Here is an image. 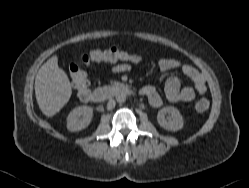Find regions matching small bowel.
I'll list each match as a JSON object with an SVG mask.
<instances>
[{
	"label": "small bowel",
	"mask_w": 249,
	"mask_h": 188,
	"mask_svg": "<svg viewBox=\"0 0 249 188\" xmlns=\"http://www.w3.org/2000/svg\"><path fill=\"white\" fill-rule=\"evenodd\" d=\"M130 58L126 62H138L140 57L137 54L129 53ZM158 66L163 71L180 70L193 83V86H181L177 77H169L164 86V94L167 102L178 104L182 102L193 101L197 94H204L207 86L201 73L191 65L182 64L172 58H161ZM129 69L127 63H121L115 66L116 72H125ZM140 93L147 98L153 107H160L164 103V98L153 86H144Z\"/></svg>",
	"instance_id": "1"
}]
</instances>
